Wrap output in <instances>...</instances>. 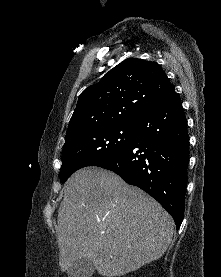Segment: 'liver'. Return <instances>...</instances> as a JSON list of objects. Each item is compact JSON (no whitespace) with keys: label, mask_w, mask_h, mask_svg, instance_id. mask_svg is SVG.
<instances>
[{"label":"liver","mask_w":221,"mask_h":277,"mask_svg":"<svg viewBox=\"0 0 221 277\" xmlns=\"http://www.w3.org/2000/svg\"><path fill=\"white\" fill-rule=\"evenodd\" d=\"M57 230L61 271L85 258L100 275L117 277L161 258L174 221L141 189L113 172L88 167L66 182Z\"/></svg>","instance_id":"6515ba94"}]
</instances>
